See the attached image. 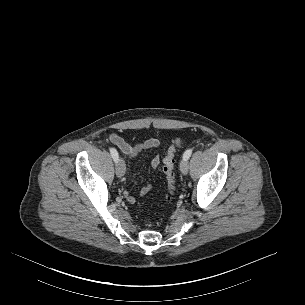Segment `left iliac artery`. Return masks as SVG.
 <instances>
[{
  "instance_id": "obj_1",
  "label": "left iliac artery",
  "mask_w": 305,
  "mask_h": 305,
  "mask_svg": "<svg viewBox=\"0 0 305 305\" xmlns=\"http://www.w3.org/2000/svg\"><path fill=\"white\" fill-rule=\"evenodd\" d=\"M191 154H192V149L186 150L185 153L183 154V159L188 160Z\"/></svg>"
}]
</instances>
